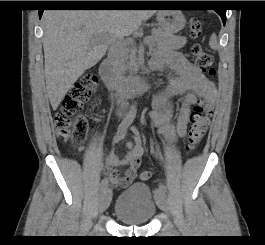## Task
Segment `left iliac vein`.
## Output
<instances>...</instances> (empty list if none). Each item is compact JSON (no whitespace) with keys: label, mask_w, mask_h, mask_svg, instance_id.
I'll return each instance as SVG.
<instances>
[{"label":"left iliac vein","mask_w":265,"mask_h":245,"mask_svg":"<svg viewBox=\"0 0 265 245\" xmlns=\"http://www.w3.org/2000/svg\"><path fill=\"white\" fill-rule=\"evenodd\" d=\"M156 201H157L158 207L161 210H163L165 212H168L169 211L168 199H167V196H166L165 192H160L156 196Z\"/></svg>","instance_id":"left-iliac-vein-1"}]
</instances>
